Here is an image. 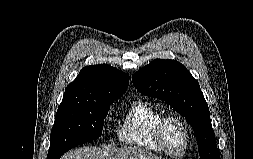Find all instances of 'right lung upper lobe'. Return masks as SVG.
I'll list each match as a JSON object with an SVG mask.
<instances>
[{
  "instance_id": "cb5924a9",
  "label": "right lung upper lobe",
  "mask_w": 253,
  "mask_h": 159,
  "mask_svg": "<svg viewBox=\"0 0 253 159\" xmlns=\"http://www.w3.org/2000/svg\"><path fill=\"white\" fill-rule=\"evenodd\" d=\"M129 75L106 64L84 67L65 89L63 100L76 98H121Z\"/></svg>"
}]
</instances>
